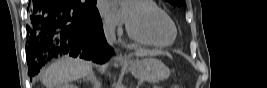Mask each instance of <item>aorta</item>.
Returning <instances> with one entry per match:
<instances>
[{
    "label": "aorta",
    "instance_id": "obj_1",
    "mask_svg": "<svg viewBox=\"0 0 267 88\" xmlns=\"http://www.w3.org/2000/svg\"><path fill=\"white\" fill-rule=\"evenodd\" d=\"M120 4H124L127 2V0H119Z\"/></svg>",
    "mask_w": 267,
    "mask_h": 88
}]
</instances>
